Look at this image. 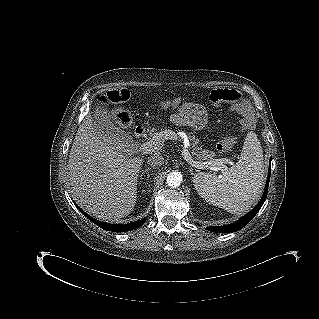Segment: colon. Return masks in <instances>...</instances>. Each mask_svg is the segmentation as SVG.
Instances as JSON below:
<instances>
[{"label":"colon","mask_w":319,"mask_h":319,"mask_svg":"<svg viewBox=\"0 0 319 319\" xmlns=\"http://www.w3.org/2000/svg\"><path fill=\"white\" fill-rule=\"evenodd\" d=\"M129 97V94L126 90H113L108 92L103 98L102 102L104 103H122L125 102ZM208 99L211 103L213 104H220V103H228V104H236L241 100V95L234 89H215L212 90L208 96ZM179 102L178 99L175 100H166L162 101V105H173L177 104ZM239 111L246 115L249 113V107L247 105H243L239 107ZM115 120L117 124H119L122 127H127L130 122H131V116L130 114L124 110V109H119L115 113ZM234 144V140L229 138L220 141L217 144V149L219 152L226 153L228 152Z\"/></svg>","instance_id":"obj_1"}]
</instances>
